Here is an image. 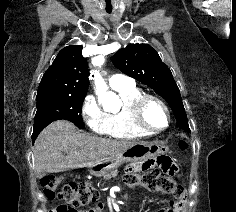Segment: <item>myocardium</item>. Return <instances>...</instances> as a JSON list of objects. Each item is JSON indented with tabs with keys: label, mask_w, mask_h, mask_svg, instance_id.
Segmentation results:
<instances>
[{
	"label": "myocardium",
	"mask_w": 236,
	"mask_h": 212,
	"mask_svg": "<svg viewBox=\"0 0 236 212\" xmlns=\"http://www.w3.org/2000/svg\"><path fill=\"white\" fill-rule=\"evenodd\" d=\"M150 102L159 104L165 111L167 116V124L164 127L155 128L147 123L145 119V110ZM131 117L136 127L150 134H157L165 131L168 129L172 121L171 112L166 102L156 95L146 93H142L133 100L131 104Z\"/></svg>",
	"instance_id": "1"
}]
</instances>
